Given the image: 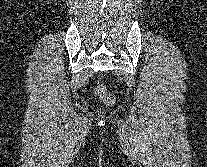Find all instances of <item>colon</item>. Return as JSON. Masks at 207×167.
I'll return each mask as SVG.
<instances>
[{"instance_id":"colon-1","label":"colon","mask_w":207,"mask_h":167,"mask_svg":"<svg viewBox=\"0 0 207 167\" xmlns=\"http://www.w3.org/2000/svg\"><path fill=\"white\" fill-rule=\"evenodd\" d=\"M94 93L99 100L107 106H111L115 102V96L104 85H96Z\"/></svg>"}]
</instances>
